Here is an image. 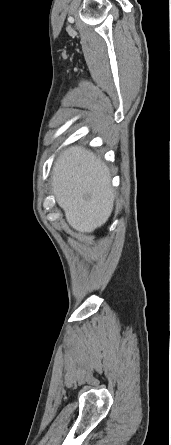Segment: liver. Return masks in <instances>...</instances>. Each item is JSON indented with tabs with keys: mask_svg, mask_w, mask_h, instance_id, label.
<instances>
[{
	"mask_svg": "<svg viewBox=\"0 0 171 445\" xmlns=\"http://www.w3.org/2000/svg\"><path fill=\"white\" fill-rule=\"evenodd\" d=\"M107 166L80 146L66 149L52 171V191L69 225L91 233L105 224L113 210L114 193Z\"/></svg>",
	"mask_w": 171,
	"mask_h": 445,
	"instance_id": "1",
	"label": "liver"
}]
</instances>
